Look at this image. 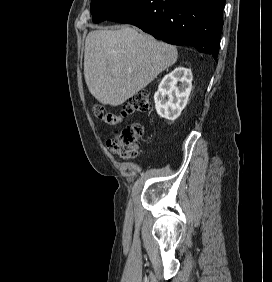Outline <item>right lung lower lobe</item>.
<instances>
[{"label": "right lung lower lobe", "instance_id": "98d812e1", "mask_svg": "<svg viewBox=\"0 0 272 282\" xmlns=\"http://www.w3.org/2000/svg\"><path fill=\"white\" fill-rule=\"evenodd\" d=\"M225 0H136L109 20L132 24L174 45H191L217 61Z\"/></svg>", "mask_w": 272, "mask_h": 282}]
</instances>
